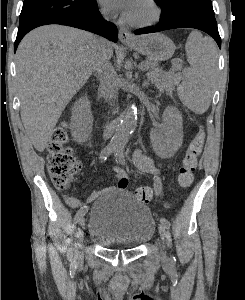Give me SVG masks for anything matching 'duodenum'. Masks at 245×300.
Here are the masks:
<instances>
[{
  "label": "duodenum",
  "mask_w": 245,
  "mask_h": 300,
  "mask_svg": "<svg viewBox=\"0 0 245 300\" xmlns=\"http://www.w3.org/2000/svg\"><path fill=\"white\" fill-rule=\"evenodd\" d=\"M104 128L107 134H111L116 130L118 121L117 120H104Z\"/></svg>",
  "instance_id": "duodenum-1"
}]
</instances>
